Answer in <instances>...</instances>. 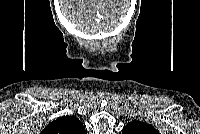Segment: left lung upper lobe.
I'll return each mask as SVG.
<instances>
[{"label":"left lung upper lobe","mask_w":200,"mask_h":134,"mask_svg":"<svg viewBox=\"0 0 200 134\" xmlns=\"http://www.w3.org/2000/svg\"><path fill=\"white\" fill-rule=\"evenodd\" d=\"M123 134H158V131L149 124L133 121L123 128Z\"/></svg>","instance_id":"1"}]
</instances>
